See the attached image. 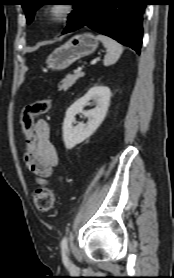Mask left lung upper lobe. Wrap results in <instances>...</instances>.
<instances>
[{"mask_svg": "<svg viewBox=\"0 0 174 278\" xmlns=\"http://www.w3.org/2000/svg\"><path fill=\"white\" fill-rule=\"evenodd\" d=\"M84 0H71V4L74 5L75 10L72 11V13L69 14V22L73 20L75 17L77 11L81 7V4ZM43 0H24V3L22 4V7L25 11L27 23L30 24L34 18L35 11L41 6Z\"/></svg>", "mask_w": 174, "mask_h": 278, "instance_id": "left-lung-upper-lobe-1", "label": "left lung upper lobe"}]
</instances>
